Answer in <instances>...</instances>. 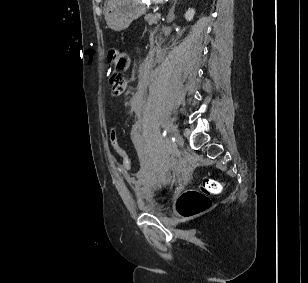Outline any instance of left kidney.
Here are the masks:
<instances>
[{"instance_id":"1","label":"left kidney","mask_w":308,"mask_h":283,"mask_svg":"<svg viewBox=\"0 0 308 283\" xmlns=\"http://www.w3.org/2000/svg\"><path fill=\"white\" fill-rule=\"evenodd\" d=\"M194 15H195V10H194L193 8H189V9L186 11L184 17H185V19H186L187 21H192Z\"/></svg>"}]
</instances>
